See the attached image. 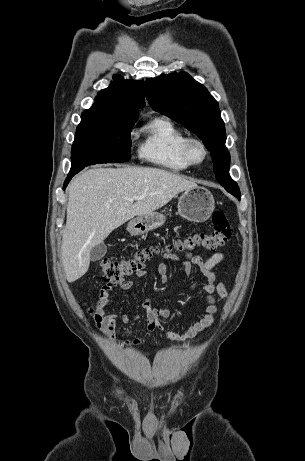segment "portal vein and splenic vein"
Returning a JSON list of instances; mask_svg holds the SVG:
<instances>
[{
  "label": "portal vein and splenic vein",
  "mask_w": 305,
  "mask_h": 461,
  "mask_svg": "<svg viewBox=\"0 0 305 461\" xmlns=\"http://www.w3.org/2000/svg\"><path fill=\"white\" fill-rule=\"evenodd\" d=\"M142 196H133L130 201L133 202L134 200H138V199H141Z\"/></svg>",
  "instance_id": "obj_1"
}]
</instances>
